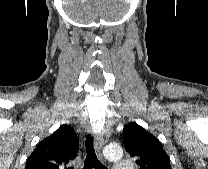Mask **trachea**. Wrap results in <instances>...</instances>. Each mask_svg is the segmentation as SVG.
Returning <instances> with one entry per match:
<instances>
[{"instance_id": "trachea-1", "label": "trachea", "mask_w": 208, "mask_h": 169, "mask_svg": "<svg viewBox=\"0 0 208 169\" xmlns=\"http://www.w3.org/2000/svg\"><path fill=\"white\" fill-rule=\"evenodd\" d=\"M86 154L84 169H106V167L98 160L96 156L93 147V138L91 136H88L86 140Z\"/></svg>"}]
</instances>
